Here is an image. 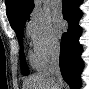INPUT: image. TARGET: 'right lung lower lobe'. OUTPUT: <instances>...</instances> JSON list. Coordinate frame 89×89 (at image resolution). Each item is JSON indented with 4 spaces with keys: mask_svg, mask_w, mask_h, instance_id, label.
Listing matches in <instances>:
<instances>
[{
    "mask_svg": "<svg viewBox=\"0 0 89 89\" xmlns=\"http://www.w3.org/2000/svg\"><path fill=\"white\" fill-rule=\"evenodd\" d=\"M62 3L63 16L69 23V27L61 39L60 70L63 79L71 89H80V74L84 63L81 59L82 46L79 43L82 29L78 25V21L82 16L79 9L82 0H62Z\"/></svg>",
    "mask_w": 89,
    "mask_h": 89,
    "instance_id": "98d812e1",
    "label": "right lung lower lobe"
}]
</instances>
